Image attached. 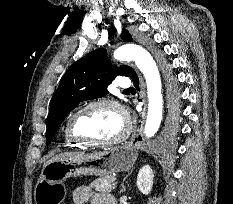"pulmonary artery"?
<instances>
[{"label":"pulmonary artery","instance_id":"pulmonary-artery-1","mask_svg":"<svg viewBox=\"0 0 233 204\" xmlns=\"http://www.w3.org/2000/svg\"><path fill=\"white\" fill-rule=\"evenodd\" d=\"M132 85V81L129 77H121L118 81V86L123 88V89H127L130 88Z\"/></svg>","mask_w":233,"mask_h":204}]
</instances>
